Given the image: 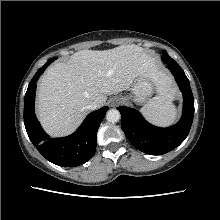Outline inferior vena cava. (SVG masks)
Returning <instances> with one entry per match:
<instances>
[{"instance_id": "602c4592", "label": "inferior vena cava", "mask_w": 220, "mask_h": 220, "mask_svg": "<svg viewBox=\"0 0 220 220\" xmlns=\"http://www.w3.org/2000/svg\"><path fill=\"white\" fill-rule=\"evenodd\" d=\"M97 108H99V104L97 102H92L87 106V109L89 110H96Z\"/></svg>"}]
</instances>
